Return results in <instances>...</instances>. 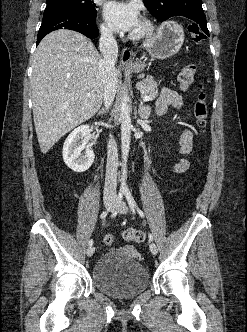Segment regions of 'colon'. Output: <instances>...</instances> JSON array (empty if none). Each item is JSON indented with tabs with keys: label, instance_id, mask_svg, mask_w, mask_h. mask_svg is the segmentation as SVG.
Wrapping results in <instances>:
<instances>
[{
	"label": "colon",
	"instance_id": "1",
	"mask_svg": "<svg viewBox=\"0 0 247 332\" xmlns=\"http://www.w3.org/2000/svg\"><path fill=\"white\" fill-rule=\"evenodd\" d=\"M188 32L195 42H201L206 38L205 32L196 24L189 25ZM195 74L196 67L194 65L183 67L178 75L180 88L183 90L187 89L193 83ZM193 113L198 127L204 130L207 124L208 106L206 94L203 91L202 85H199V93L193 106ZM121 235L126 241L140 243L145 240L144 232L134 228L123 230ZM103 240L106 245L110 246L114 242V237L111 234H106Z\"/></svg>",
	"mask_w": 247,
	"mask_h": 332
}]
</instances>
